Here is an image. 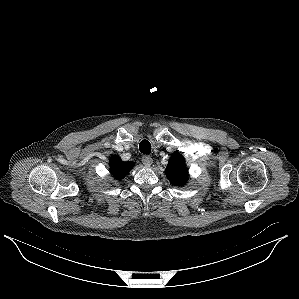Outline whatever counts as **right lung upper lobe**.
<instances>
[{
  "label": "right lung upper lobe",
  "mask_w": 299,
  "mask_h": 299,
  "mask_svg": "<svg viewBox=\"0 0 299 299\" xmlns=\"http://www.w3.org/2000/svg\"><path fill=\"white\" fill-rule=\"evenodd\" d=\"M132 167L133 162H124L117 156H113L110 160L111 173L117 179L123 178Z\"/></svg>",
  "instance_id": "right-lung-upper-lobe-1"
}]
</instances>
